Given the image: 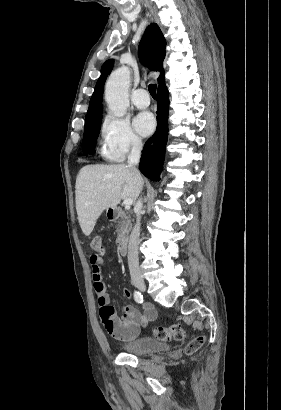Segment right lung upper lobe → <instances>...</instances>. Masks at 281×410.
Returning <instances> with one entry per match:
<instances>
[{
  "label": "right lung upper lobe",
  "instance_id": "cb5924a9",
  "mask_svg": "<svg viewBox=\"0 0 281 410\" xmlns=\"http://www.w3.org/2000/svg\"><path fill=\"white\" fill-rule=\"evenodd\" d=\"M166 41L157 24H150L139 45V58L142 64L148 66L152 71H161L158 78L159 87L165 85L163 60L165 58ZM113 67V61H107L101 68V76L95 86V91L90 99L89 108L85 122L102 116L103 85L107 75Z\"/></svg>",
  "mask_w": 281,
  "mask_h": 410
}]
</instances>
